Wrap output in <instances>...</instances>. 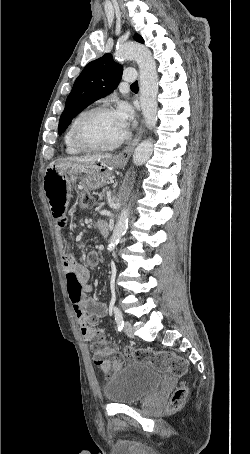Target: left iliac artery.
<instances>
[{"label":"left iliac artery","mask_w":250,"mask_h":454,"mask_svg":"<svg viewBox=\"0 0 250 454\" xmlns=\"http://www.w3.org/2000/svg\"><path fill=\"white\" fill-rule=\"evenodd\" d=\"M113 311H114L115 321L117 324V329H118V331H121L124 326V320H123L122 313L117 306L113 307Z\"/></svg>","instance_id":"left-iliac-artery-1"}]
</instances>
